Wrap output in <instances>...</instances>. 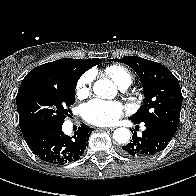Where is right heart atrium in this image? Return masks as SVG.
Instances as JSON below:
<instances>
[{
	"label": "right heart atrium",
	"mask_w": 196,
	"mask_h": 196,
	"mask_svg": "<svg viewBox=\"0 0 196 196\" xmlns=\"http://www.w3.org/2000/svg\"><path fill=\"white\" fill-rule=\"evenodd\" d=\"M92 81L93 74L91 72H87L79 78L76 84V95L79 98L87 97L90 94Z\"/></svg>",
	"instance_id": "d8ad5b80"
}]
</instances>
